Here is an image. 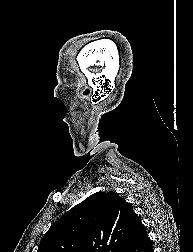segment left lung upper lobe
<instances>
[{
    "mask_svg": "<svg viewBox=\"0 0 193 252\" xmlns=\"http://www.w3.org/2000/svg\"><path fill=\"white\" fill-rule=\"evenodd\" d=\"M139 217L115 192H97L45 233L37 252H124Z\"/></svg>",
    "mask_w": 193,
    "mask_h": 252,
    "instance_id": "1",
    "label": "left lung upper lobe"
}]
</instances>
